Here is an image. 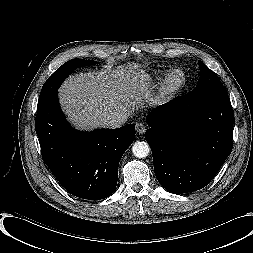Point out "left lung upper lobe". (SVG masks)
<instances>
[{
	"label": "left lung upper lobe",
	"mask_w": 253,
	"mask_h": 253,
	"mask_svg": "<svg viewBox=\"0 0 253 253\" xmlns=\"http://www.w3.org/2000/svg\"><path fill=\"white\" fill-rule=\"evenodd\" d=\"M200 68V78L198 84L192 93L200 100L206 99L212 95L218 88H220L222 83L220 82L218 76L210 70L202 61L198 60Z\"/></svg>",
	"instance_id": "left-lung-upper-lobe-1"
}]
</instances>
